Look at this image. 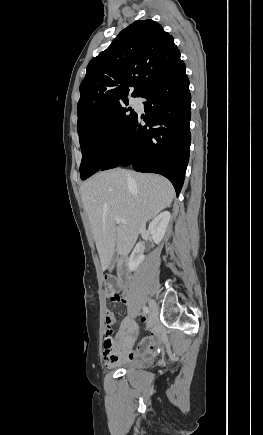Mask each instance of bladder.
I'll return each mask as SVG.
<instances>
[{
  "label": "bladder",
  "instance_id": "1",
  "mask_svg": "<svg viewBox=\"0 0 263 435\" xmlns=\"http://www.w3.org/2000/svg\"><path fill=\"white\" fill-rule=\"evenodd\" d=\"M144 361H139V362H134V363H129L126 365L127 368H132V369H136V368H142L144 366Z\"/></svg>",
  "mask_w": 263,
  "mask_h": 435
}]
</instances>
